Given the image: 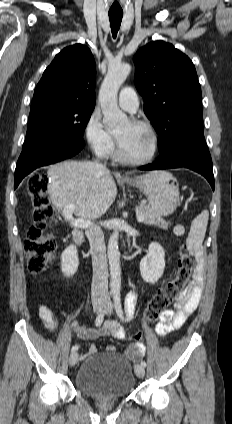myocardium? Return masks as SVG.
Returning <instances> with one entry per match:
<instances>
[{"instance_id":"1","label":"myocardium","mask_w":232,"mask_h":424,"mask_svg":"<svg viewBox=\"0 0 232 424\" xmlns=\"http://www.w3.org/2000/svg\"><path fill=\"white\" fill-rule=\"evenodd\" d=\"M130 122L134 125H137L139 127L144 128L150 134L151 140H152L151 151L149 152V154H147L146 156L141 157V158L129 157L124 153L122 146L120 144V141L118 139L117 155H118L119 159L123 163H126V164L143 165V164L149 163L150 161H152L154 159V157L156 156V154L158 152L159 138H158L157 132L155 131L153 126L146 121L131 120Z\"/></svg>"}]
</instances>
